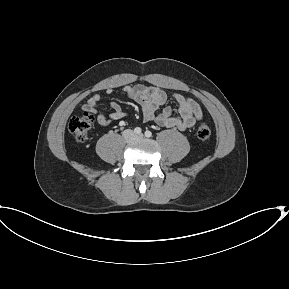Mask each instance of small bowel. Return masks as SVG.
<instances>
[{
    "label": "small bowel",
    "instance_id": "small-bowel-1",
    "mask_svg": "<svg viewBox=\"0 0 289 289\" xmlns=\"http://www.w3.org/2000/svg\"><path fill=\"white\" fill-rule=\"evenodd\" d=\"M112 92V89L107 90L108 94ZM123 93L141 106L145 121H153L160 126L177 128L184 131L202 119L200 106L193 99L179 93L170 95V98L174 100L178 106L179 116H175L173 109L169 106L165 107L160 113H157L159 108L163 106L169 98L168 94L161 88L138 84L124 87ZM100 101V94H94L82 109L85 112L96 114V120L101 126H107L111 121L120 120L125 117V112L116 102L109 103L110 108L113 110L111 113L106 114L99 111L98 105Z\"/></svg>",
    "mask_w": 289,
    "mask_h": 289
}]
</instances>
